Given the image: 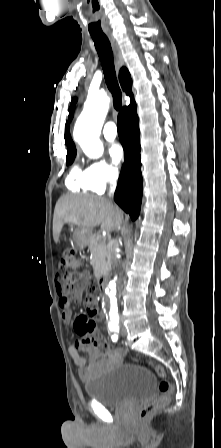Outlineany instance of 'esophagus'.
Returning <instances> with one entry per match:
<instances>
[{"instance_id": "34e87169", "label": "esophagus", "mask_w": 221, "mask_h": 448, "mask_svg": "<svg viewBox=\"0 0 221 448\" xmlns=\"http://www.w3.org/2000/svg\"><path fill=\"white\" fill-rule=\"evenodd\" d=\"M110 43H111V47L113 50V54H114V58H115V64H116V69L119 70V68L124 64L123 61V57L120 51V48L114 38L113 35H107Z\"/></svg>"}]
</instances>
